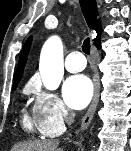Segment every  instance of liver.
Here are the masks:
<instances>
[{
  "mask_svg": "<svg viewBox=\"0 0 131 151\" xmlns=\"http://www.w3.org/2000/svg\"><path fill=\"white\" fill-rule=\"evenodd\" d=\"M12 151H63V148H58L57 141L38 140L16 145Z\"/></svg>",
  "mask_w": 131,
  "mask_h": 151,
  "instance_id": "liver-1",
  "label": "liver"
}]
</instances>
